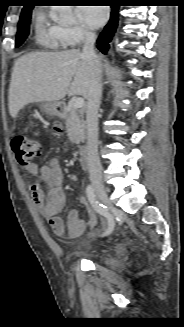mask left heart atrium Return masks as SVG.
Instances as JSON below:
<instances>
[{"label": "left heart atrium", "instance_id": "39dd6f15", "mask_svg": "<svg viewBox=\"0 0 184 327\" xmlns=\"http://www.w3.org/2000/svg\"><path fill=\"white\" fill-rule=\"evenodd\" d=\"M80 15L90 28L96 29L105 23L108 17V9L98 5H88L80 9Z\"/></svg>", "mask_w": 184, "mask_h": 327}]
</instances>
